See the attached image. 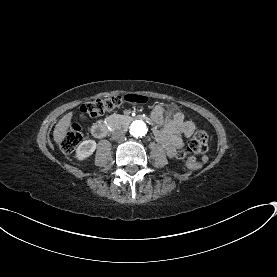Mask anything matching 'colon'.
<instances>
[{
    "label": "colon",
    "instance_id": "obj_1",
    "mask_svg": "<svg viewBox=\"0 0 277 277\" xmlns=\"http://www.w3.org/2000/svg\"><path fill=\"white\" fill-rule=\"evenodd\" d=\"M148 102L149 97L145 95L125 94L101 96L84 103L80 111L86 117H96L104 113L112 112L123 104L145 105ZM81 138V130L75 126L70 127L61 143L62 149L66 152H71ZM209 140L210 135L208 131L200 128L187 140L185 147L178 151V157L186 160L188 169L198 171L203 167L206 159L199 160L192 156V154L206 152Z\"/></svg>",
    "mask_w": 277,
    "mask_h": 277
}]
</instances>
